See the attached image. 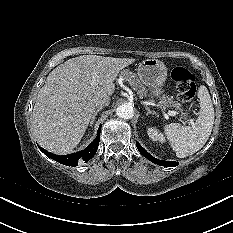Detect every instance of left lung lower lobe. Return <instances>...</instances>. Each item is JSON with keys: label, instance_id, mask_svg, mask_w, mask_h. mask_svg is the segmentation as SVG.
Instances as JSON below:
<instances>
[{"label": "left lung lower lobe", "instance_id": "obj_1", "mask_svg": "<svg viewBox=\"0 0 233 233\" xmlns=\"http://www.w3.org/2000/svg\"><path fill=\"white\" fill-rule=\"evenodd\" d=\"M137 148L139 150V152L148 160H150L151 162L161 165V166H166V167H174L177 166L178 163L175 161H162L159 159L154 158L153 156H151L138 142H136Z\"/></svg>", "mask_w": 233, "mask_h": 233}]
</instances>
